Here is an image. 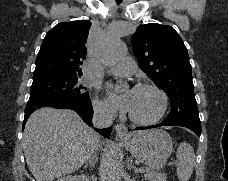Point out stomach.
Segmentation results:
<instances>
[{
  "label": "stomach",
  "mask_w": 228,
  "mask_h": 181,
  "mask_svg": "<svg viewBox=\"0 0 228 181\" xmlns=\"http://www.w3.org/2000/svg\"><path fill=\"white\" fill-rule=\"evenodd\" d=\"M131 155L142 161L150 171L160 173L173 151L170 135L162 129L155 131H133L126 137H120Z\"/></svg>",
  "instance_id": "1"
}]
</instances>
